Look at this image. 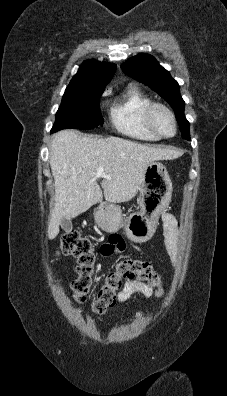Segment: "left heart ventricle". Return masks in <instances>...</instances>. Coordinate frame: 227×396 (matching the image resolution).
<instances>
[{"instance_id":"b2bd125f","label":"left heart ventricle","mask_w":227,"mask_h":396,"mask_svg":"<svg viewBox=\"0 0 227 396\" xmlns=\"http://www.w3.org/2000/svg\"><path fill=\"white\" fill-rule=\"evenodd\" d=\"M155 123L158 129L166 135L173 134V122L171 117L163 110H158L155 114Z\"/></svg>"}]
</instances>
